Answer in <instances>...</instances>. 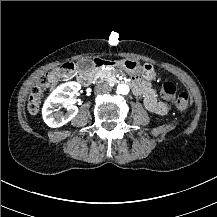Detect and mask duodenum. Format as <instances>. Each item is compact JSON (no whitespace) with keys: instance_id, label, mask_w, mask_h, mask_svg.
Here are the masks:
<instances>
[{"instance_id":"obj_1","label":"duodenum","mask_w":217,"mask_h":217,"mask_svg":"<svg viewBox=\"0 0 217 217\" xmlns=\"http://www.w3.org/2000/svg\"><path fill=\"white\" fill-rule=\"evenodd\" d=\"M118 65V62L116 60H109V59H104V58H95L93 60L92 66L93 68H99V67H115ZM93 80V74L92 72H87L82 75L81 81L84 84H89ZM131 86L133 90L137 89L139 87L138 82L136 81H131Z\"/></svg>"}]
</instances>
